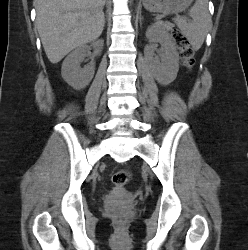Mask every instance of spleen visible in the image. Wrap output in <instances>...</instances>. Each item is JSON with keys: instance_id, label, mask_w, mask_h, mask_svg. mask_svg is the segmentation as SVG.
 Here are the masks:
<instances>
[{"instance_id": "spleen-1", "label": "spleen", "mask_w": 248, "mask_h": 250, "mask_svg": "<svg viewBox=\"0 0 248 250\" xmlns=\"http://www.w3.org/2000/svg\"><path fill=\"white\" fill-rule=\"evenodd\" d=\"M188 15L192 18V22H189L186 17L177 16L175 23L181 33L188 39L193 49L198 50L201 48L211 27L208 0H196Z\"/></svg>"}]
</instances>
